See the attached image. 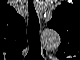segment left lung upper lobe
<instances>
[{
    "label": "left lung upper lobe",
    "mask_w": 80,
    "mask_h": 60,
    "mask_svg": "<svg viewBox=\"0 0 80 60\" xmlns=\"http://www.w3.org/2000/svg\"><path fill=\"white\" fill-rule=\"evenodd\" d=\"M69 4L63 3L59 6L53 13L51 21L48 23L50 28L58 31L62 38V43L60 45L61 49L68 47L69 34H70V23H69ZM70 47V45H69Z\"/></svg>",
    "instance_id": "left-lung-upper-lobe-1"
}]
</instances>
